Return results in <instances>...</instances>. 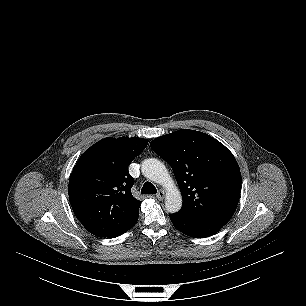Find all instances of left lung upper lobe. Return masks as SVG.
<instances>
[{
    "label": "left lung upper lobe",
    "instance_id": "5c2ea615",
    "mask_svg": "<svg viewBox=\"0 0 306 306\" xmlns=\"http://www.w3.org/2000/svg\"><path fill=\"white\" fill-rule=\"evenodd\" d=\"M150 146L173 169L183 198L179 214L220 225L231 219L240 197L241 173L229 149L189 129L158 137Z\"/></svg>",
    "mask_w": 306,
    "mask_h": 306
}]
</instances>
